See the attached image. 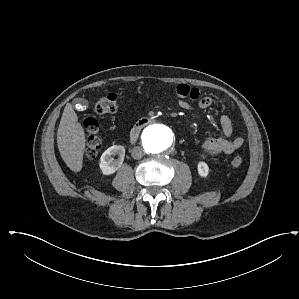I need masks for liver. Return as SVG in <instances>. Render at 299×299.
<instances>
[{
    "label": "liver",
    "mask_w": 299,
    "mask_h": 299,
    "mask_svg": "<svg viewBox=\"0 0 299 299\" xmlns=\"http://www.w3.org/2000/svg\"><path fill=\"white\" fill-rule=\"evenodd\" d=\"M57 145L66 165L73 172L81 171L86 138L71 104H67L64 108L57 132Z\"/></svg>",
    "instance_id": "liver-1"
}]
</instances>
